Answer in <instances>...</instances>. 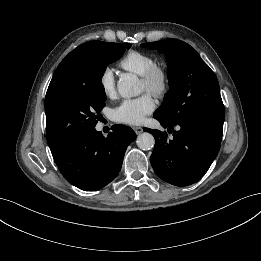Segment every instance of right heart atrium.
Returning <instances> with one entry per match:
<instances>
[{"instance_id": "right-heart-atrium-1", "label": "right heart atrium", "mask_w": 261, "mask_h": 261, "mask_svg": "<svg viewBox=\"0 0 261 261\" xmlns=\"http://www.w3.org/2000/svg\"><path fill=\"white\" fill-rule=\"evenodd\" d=\"M99 85L105 96H112L116 91L115 74L112 68L106 67L99 77Z\"/></svg>"}]
</instances>
